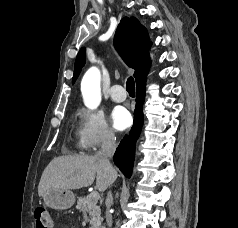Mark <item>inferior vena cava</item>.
I'll use <instances>...</instances> for the list:
<instances>
[{
	"instance_id": "inferior-vena-cava-1",
	"label": "inferior vena cava",
	"mask_w": 238,
	"mask_h": 228,
	"mask_svg": "<svg viewBox=\"0 0 238 228\" xmlns=\"http://www.w3.org/2000/svg\"><path fill=\"white\" fill-rule=\"evenodd\" d=\"M116 149V137L112 132H107L100 151L97 152L96 156L104 161L106 165H108L110 168H112V165L110 163V158L113 157L114 152ZM113 204V197L111 192L108 193L107 199H106V222L109 228L112 227V215L109 212L110 206Z\"/></svg>"
}]
</instances>
